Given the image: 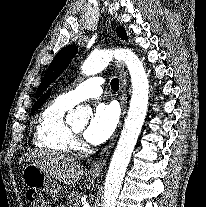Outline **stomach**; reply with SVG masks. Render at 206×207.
Listing matches in <instances>:
<instances>
[{"label": "stomach", "instance_id": "1", "mask_svg": "<svg viewBox=\"0 0 206 207\" xmlns=\"http://www.w3.org/2000/svg\"><path fill=\"white\" fill-rule=\"evenodd\" d=\"M21 179L29 189H33L35 191L55 194L60 190V186L52 177L32 163L23 167Z\"/></svg>", "mask_w": 206, "mask_h": 207}]
</instances>
